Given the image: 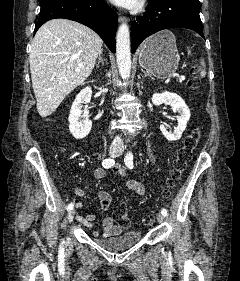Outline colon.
I'll return each instance as SVG.
<instances>
[{
    "label": "colon",
    "instance_id": "obj_1",
    "mask_svg": "<svg viewBox=\"0 0 240 281\" xmlns=\"http://www.w3.org/2000/svg\"><path fill=\"white\" fill-rule=\"evenodd\" d=\"M192 74L189 79V86L192 88H197L199 86V78L196 75V68H192ZM201 135V130L199 128L193 130L189 135H187L183 141L182 146L178 149L175 159L173 161L172 169L170 171L169 177L167 179L166 188L164 190V195L168 196L171 189L175 186L176 182L181 178L187 163L192 157L193 151L196 148ZM113 218L117 224L123 228H129L131 225L130 219L128 217L127 207L123 202H116L113 209ZM145 222H150V217L145 218Z\"/></svg>",
    "mask_w": 240,
    "mask_h": 281
}]
</instances>
